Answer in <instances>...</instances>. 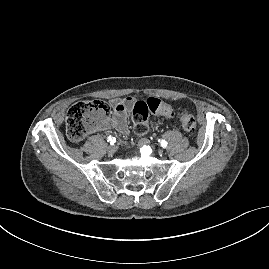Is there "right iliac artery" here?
<instances>
[{
  "instance_id": "1",
  "label": "right iliac artery",
  "mask_w": 269,
  "mask_h": 269,
  "mask_svg": "<svg viewBox=\"0 0 269 269\" xmlns=\"http://www.w3.org/2000/svg\"><path fill=\"white\" fill-rule=\"evenodd\" d=\"M107 141H108L111 145H113V144L116 142V139H115L114 137L109 136V137L107 138Z\"/></svg>"
}]
</instances>
